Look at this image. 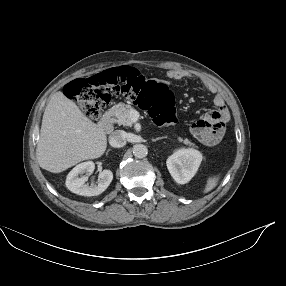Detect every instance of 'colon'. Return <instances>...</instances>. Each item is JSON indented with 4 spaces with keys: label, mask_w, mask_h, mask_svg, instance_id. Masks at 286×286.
Returning a JSON list of instances; mask_svg holds the SVG:
<instances>
[{
    "label": "colon",
    "mask_w": 286,
    "mask_h": 286,
    "mask_svg": "<svg viewBox=\"0 0 286 286\" xmlns=\"http://www.w3.org/2000/svg\"><path fill=\"white\" fill-rule=\"evenodd\" d=\"M66 94L91 118H96L112 96L138 97L139 102L158 124L176 118L174 96L168 86L146 78L137 69L122 67L77 79L67 86ZM225 124L216 112L209 111L192 125V135L199 143L212 147L220 144Z\"/></svg>",
    "instance_id": "1"
}]
</instances>
